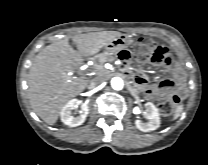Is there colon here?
I'll use <instances>...</instances> for the list:
<instances>
[{"label":"colon","mask_w":208,"mask_h":165,"mask_svg":"<svg viewBox=\"0 0 208 165\" xmlns=\"http://www.w3.org/2000/svg\"><path fill=\"white\" fill-rule=\"evenodd\" d=\"M135 57L139 60H150L154 63L165 64L170 66L174 58L170 55L166 46L157 44L153 40L145 37L138 39L135 46ZM183 90H178L174 95L169 97L162 96L157 101V106L161 113L170 115L174 112L177 104L180 102Z\"/></svg>","instance_id":"colon-1"}]
</instances>
